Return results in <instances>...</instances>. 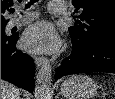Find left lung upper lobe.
<instances>
[{
    "mask_svg": "<svg viewBox=\"0 0 115 99\" xmlns=\"http://www.w3.org/2000/svg\"><path fill=\"white\" fill-rule=\"evenodd\" d=\"M80 21L69 27L73 46L82 49L99 42H115V0H72Z\"/></svg>",
    "mask_w": 115,
    "mask_h": 99,
    "instance_id": "obj_1",
    "label": "left lung upper lobe"
}]
</instances>
